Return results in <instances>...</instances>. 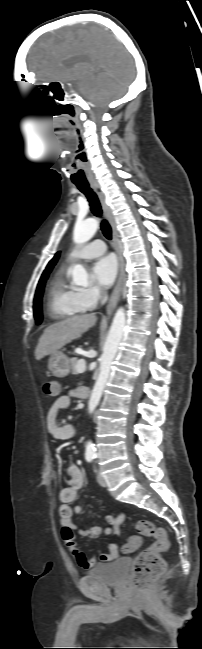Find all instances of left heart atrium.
I'll use <instances>...</instances> for the list:
<instances>
[{
	"label": "left heart atrium",
	"instance_id": "1",
	"mask_svg": "<svg viewBox=\"0 0 202 649\" xmlns=\"http://www.w3.org/2000/svg\"><path fill=\"white\" fill-rule=\"evenodd\" d=\"M117 270V261L113 255L109 254L96 260L92 267V275L99 285L108 287L114 282Z\"/></svg>",
	"mask_w": 202,
	"mask_h": 649
}]
</instances>
